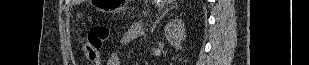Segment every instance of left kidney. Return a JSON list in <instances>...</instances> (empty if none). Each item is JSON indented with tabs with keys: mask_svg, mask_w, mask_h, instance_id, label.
Segmentation results:
<instances>
[{
	"mask_svg": "<svg viewBox=\"0 0 309 65\" xmlns=\"http://www.w3.org/2000/svg\"><path fill=\"white\" fill-rule=\"evenodd\" d=\"M167 41L174 47H180L186 37L185 23L182 19H173L164 28Z\"/></svg>",
	"mask_w": 309,
	"mask_h": 65,
	"instance_id": "obj_1",
	"label": "left kidney"
}]
</instances>
